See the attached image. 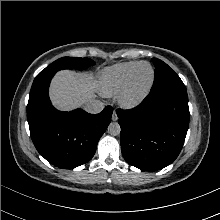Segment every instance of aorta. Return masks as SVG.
<instances>
[{"label":"aorta","instance_id":"1","mask_svg":"<svg viewBox=\"0 0 220 220\" xmlns=\"http://www.w3.org/2000/svg\"><path fill=\"white\" fill-rule=\"evenodd\" d=\"M108 132L113 136L119 135L121 127L117 122H111L108 126Z\"/></svg>","mask_w":220,"mask_h":220}]
</instances>
